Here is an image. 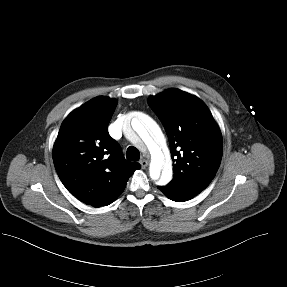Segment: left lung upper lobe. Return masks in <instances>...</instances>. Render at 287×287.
<instances>
[{
    "label": "left lung upper lobe",
    "mask_w": 287,
    "mask_h": 287,
    "mask_svg": "<svg viewBox=\"0 0 287 287\" xmlns=\"http://www.w3.org/2000/svg\"><path fill=\"white\" fill-rule=\"evenodd\" d=\"M148 104L169 139L174 175L168 186L193 198L210 184L219 168L221 131L207 106L179 89L151 96Z\"/></svg>",
    "instance_id": "obj_1"
}]
</instances>
